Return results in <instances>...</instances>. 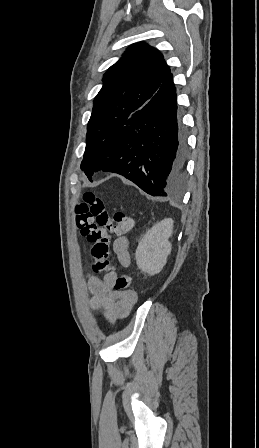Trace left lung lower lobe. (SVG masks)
Segmentation results:
<instances>
[{
    "label": "left lung lower lobe",
    "mask_w": 259,
    "mask_h": 448,
    "mask_svg": "<svg viewBox=\"0 0 259 448\" xmlns=\"http://www.w3.org/2000/svg\"><path fill=\"white\" fill-rule=\"evenodd\" d=\"M176 88L170 73L139 110L90 163V181L99 170L123 175L152 196L176 192L184 179L187 135L178 113Z\"/></svg>",
    "instance_id": "1"
}]
</instances>
